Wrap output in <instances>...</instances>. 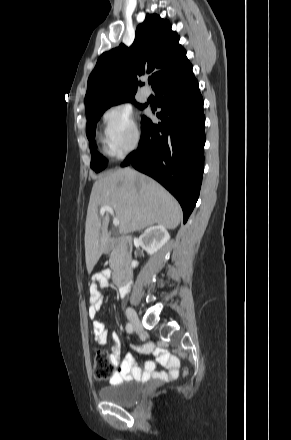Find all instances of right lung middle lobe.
<instances>
[{
    "instance_id": "1",
    "label": "right lung middle lobe",
    "mask_w": 291,
    "mask_h": 440,
    "mask_svg": "<svg viewBox=\"0 0 291 440\" xmlns=\"http://www.w3.org/2000/svg\"><path fill=\"white\" fill-rule=\"evenodd\" d=\"M122 102H135V101H134V97H130L128 99H125V100H122L119 102L99 106L97 108L90 110L88 113H86V116H87L86 131H87V137L89 139V147H90V152H91L90 167L93 170H95L96 172H99L106 167V163H105L106 159L99 152H97L96 143L94 141L96 123H97L98 119L100 118V116L102 115V113L106 109H108L109 107H111L113 105L122 103ZM138 106L140 109H143L146 105L139 104Z\"/></svg>"
}]
</instances>
